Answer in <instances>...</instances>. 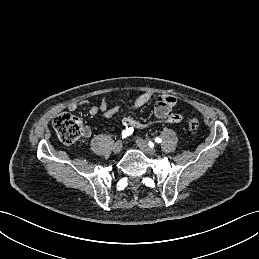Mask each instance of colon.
Returning <instances> with one entry per match:
<instances>
[{"instance_id":"obj_1","label":"colon","mask_w":259,"mask_h":259,"mask_svg":"<svg viewBox=\"0 0 259 259\" xmlns=\"http://www.w3.org/2000/svg\"><path fill=\"white\" fill-rule=\"evenodd\" d=\"M55 132L59 140L65 144H71L76 142L82 133L81 121L69 114H59L53 122ZM199 128V121L195 118L188 121V130L192 133L196 132Z\"/></svg>"}]
</instances>
